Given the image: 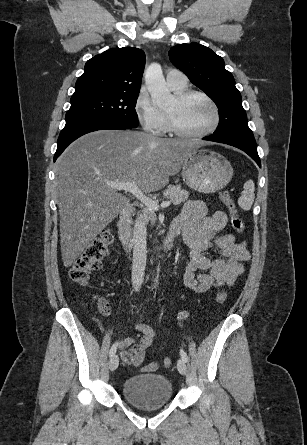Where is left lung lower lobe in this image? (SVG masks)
Masks as SVG:
<instances>
[{
	"label": "left lung lower lobe",
	"mask_w": 307,
	"mask_h": 445,
	"mask_svg": "<svg viewBox=\"0 0 307 445\" xmlns=\"http://www.w3.org/2000/svg\"><path fill=\"white\" fill-rule=\"evenodd\" d=\"M203 140L224 143L239 148L247 153L259 167H261V161L257 153V145L254 136L237 134L210 135L204 137Z\"/></svg>",
	"instance_id": "0a47b994"
}]
</instances>
